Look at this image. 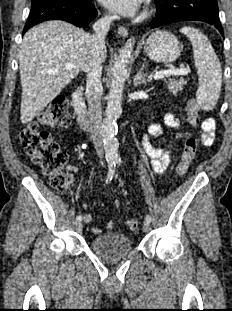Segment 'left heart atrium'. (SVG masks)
<instances>
[{
	"instance_id": "left-heart-atrium-1",
	"label": "left heart atrium",
	"mask_w": 232,
	"mask_h": 311,
	"mask_svg": "<svg viewBox=\"0 0 232 311\" xmlns=\"http://www.w3.org/2000/svg\"><path fill=\"white\" fill-rule=\"evenodd\" d=\"M100 2L108 9L125 16L135 14L142 4V0H100Z\"/></svg>"
}]
</instances>
